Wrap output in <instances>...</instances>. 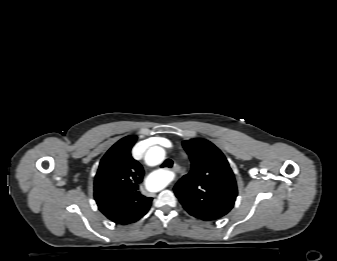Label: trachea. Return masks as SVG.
Returning a JSON list of instances; mask_svg holds the SVG:
<instances>
[{"instance_id": "1", "label": "trachea", "mask_w": 337, "mask_h": 261, "mask_svg": "<svg viewBox=\"0 0 337 261\" xmlns=\"http://www.w3.org/2000/svg\"><path fill=\"white\" fill-rule=\"evenodd\" d=\"M173 166V161L170 160V159H167L164 161V163L162 164L161 167H168V168H171Z\"/></svg>"}]
</instances>
